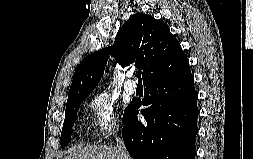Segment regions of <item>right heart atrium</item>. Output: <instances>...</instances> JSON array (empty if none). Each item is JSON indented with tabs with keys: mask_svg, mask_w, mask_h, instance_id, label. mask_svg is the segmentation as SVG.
<instances>
[{
	"mask_svg": "<svg viewBox=\"0 0 253 159\" xmlns=\"http://www.w3.org/2000/svg\"><path fill=\"white\" fill-rule=\"evenodd\" d=\"M98 138L103 141L117 132L122 125L115 101L106 93L95 94L88 102Z\"/></svg>",
	"mask_w": 253,
	"mask_h": 159,
	"instance_id": "obj_1",
	"label": "right heart atrium"
}]
</instances>
